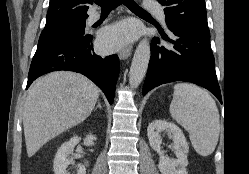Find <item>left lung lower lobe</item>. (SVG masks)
<instances>
[{
	"instance_id": "1",
	"label": "left lung lower lobe",
	"mask_w": 249,
	"mask_h": 174,
	"mask_svg": "<svg viewBox=\"0 0 249 174\" xmlns=\"http://www.w3.org/2000/svg\"><path fill=\"white\" fill-rule=\"evenodd\" d=\"M174 40L172 48L151 42V58L142 93L173 81L192 82L212 92L222 103L210 45V32L194 28L169 27ZM163 39L166 36L160 33Z\"/></svg>"
}]
</instances>
